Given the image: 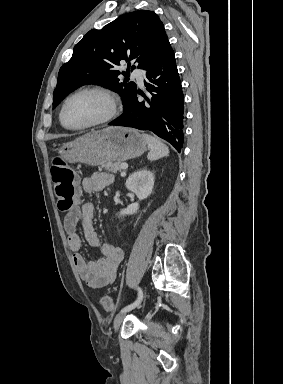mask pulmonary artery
<instances>
[{
  "label": "pulmonary artery",
  "mask_w": 283,
  "mask_h": 384,
  "mask_svg": "<svg viewBox=\"0 0 283 384\" xmlns=\"http://www.w3.org/2000/svg\"><path fill=\"white\" fill-rule=\"evenodd\" d=\"M132 75L134 78H135V76H144L143 73L141 72L140 68H133L132 69ZM139 84L142 85L143 83H139Z\"/></svg>",
  "instance_id": "1"
}]
</instances>
